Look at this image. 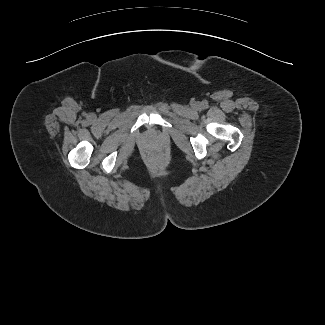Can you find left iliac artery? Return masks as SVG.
<instances>
[{
    "instance_id": "44dca946",
    "label": "left iliac artery",
    "mask_w": 325,
    "mask_h": 325,
    "mask_svg": "<svg viewBox=\"0 0 325 325\" xmlns=\"http://www.w3.org/2000/svg\"><path fill=\"white\" fill-rule=\"evenodd\" d=\"M202 107H203V108H206V107H207V103H206V102H203V103H202Z\"/></svg>"
}]
</instances>
